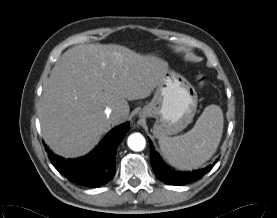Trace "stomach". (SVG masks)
I'll return each instance as SVG.
<instances>
[{
	"mask_svg": "<svg viewBox=\"0 0 277 218\" xmlns=\"http://www.w3.org/2000/svg\"><path fill=\"white\" fill-rule=\"evenodd\" d=\"M198 96L182 75L167 70L156 87L154 97L140 112V117L156 119L153 134L160 138L179 133L195 116Z\"/></svg>",
	"mask_w": 277,
	"mask_h": 218,
	"instance_id": "obj_1",
	"label": "stomach"
}]
</instances>
